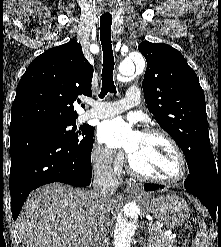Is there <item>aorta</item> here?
<instances>
[{"label": "aorta", "instance_id": "1", "mask_svg": "<svg viewBox=\"0 0 221 247\" xmlns=\"http://www.w3.org/2000/svg\"><path fill=\"white\" fill-rule=\"evenodd\" d=\"M144 66L145 62L141 55L131 54L119 65L118 71L121 75L128 77L134 73L135 68L142 70ZM135 230L134 220H128L125 216L119 215L113 233L114 247H130Z\"/></svg>", "mask_w": 221, "mask_h": 247}]
</instances>
